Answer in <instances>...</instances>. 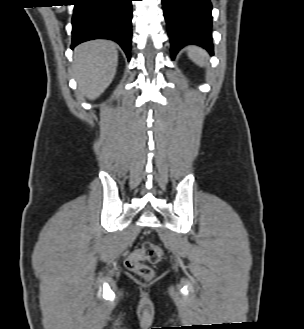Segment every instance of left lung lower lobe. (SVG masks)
I'll return each instance as SVG.
<instances>
[{"mask_svg":"<svg viewBox=\"0 0 304 329\" xmlns=\"http://www.w3.org/2000/svg\"><path fill=\"white\" fill-rule=\"evenodd\" d=\"M172 59L181 48L196 44L213 54L210 0H162Z\"/></svg>","mask_w":304,"mask_h":329,"instance_id":"left-lung-lower-lobe-1","label":"left lung lower lobe"}]
</instances>
